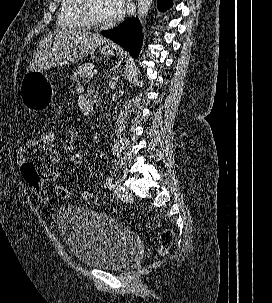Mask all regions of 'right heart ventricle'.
Returning a JSON list of instances; mask_svg holds the SVG:
<instances>
[{
	"mask_svg": "<svg viewBox=\"0 0 272 303\" xmlns=\"http://www.w3.org/2000/svg\"><path fill=\"white\" fill-rule=\"evenodd\" d=\"M82 0H61L58 24L66 28H85L87 23L81 14Z\"/></svg>",
	"mask_w": 272,
	"mask_h": 303,
	"instance_id": "e07e8e85",
	"label": "right heart ventricle"
}]
</instances>
